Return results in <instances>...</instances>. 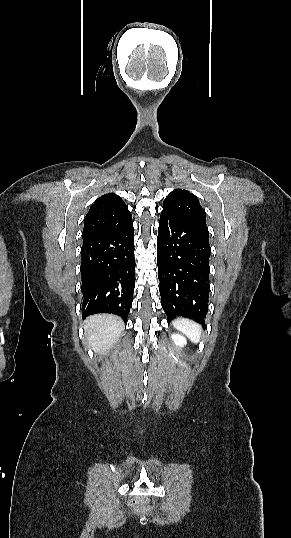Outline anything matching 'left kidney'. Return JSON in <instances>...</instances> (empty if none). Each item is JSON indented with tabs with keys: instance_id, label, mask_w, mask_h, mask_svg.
I'll list each match as a JSON object with an SVG mask.
<instances>
[{
	"instance_id": "obj_1",
	"label": "left kidney",
	"mask_w": 291,
	"mask_h": 538,
	"mask_svg": "<svg viewBox=\"0 0 291 538\" xmlns=\"http://www.w3.org/2000/svg\"><path fill=\"white\" fill-rule=\"evenodd\" d=\"M172 339L174 340V343L180 347H183L187 344L185 337L180 334H173Z\"/></svg>"
}]
</instances>
